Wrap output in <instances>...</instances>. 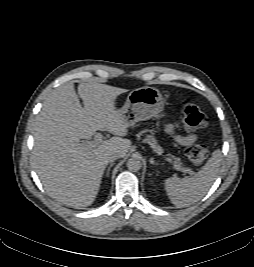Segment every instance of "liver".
<instances>
[{
	"label": "liver",
	"mask_w": 254,
	"mask_h": 267,
	"mask_svg": "<svg viewBox=\"0 0 254 267\" xmlns=\"http://www.w3.org/2000/svg\"><path fill=\"white\" fill-rule=\"evenodd\" d=\"M98 82L80 83L78 95L73 82L54 89L45 99L33 126V167L48 195L61 204L90 206L113 152L125 157L131 141L123 138L129 124L116 109V99L127 92ZM97 130L115 135L96 146H84Z\"/></svg>",
	"instance_id": "liver-1"
}]
</instances>
